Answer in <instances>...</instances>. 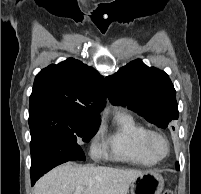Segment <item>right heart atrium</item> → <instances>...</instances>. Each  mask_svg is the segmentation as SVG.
<instances>
[{"instance_id": "right-heart-atrium-1", "label": "right heart atrium", "mask_w": 201, "mask_h": 194, "mask_svg": "<svg viewBox=\"0 0 201 194\" xmlns=\"http://www.w3.org/2000/svg\"><path fill=\"white\" fill-rule=\"evenodd\" d=\"M92 150L94 153H98L99 151V147L96 141H94V143L92 144Z\"/></svg>"}]
</instances>
